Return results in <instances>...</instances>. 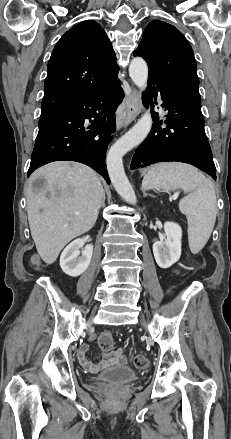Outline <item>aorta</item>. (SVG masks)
I'll return each mask as SVG.
<instances>
[{
	"label": "aorta",
	"mask_w": 231,
	"mask_h": 439,
	"mask_svg": "<svg viewBox=\"0 0 231 439\" xmlns=\"http://www.w3.org/2000/svg\"><path fill=\"white\" fill-rule=\"evenodd\" d=\"M129 75L141 91L146 89L148 66L143 58L135 57L132 59L129 66ZM151 127L152 116L150 111L146 110L133 128L111 146L107 155V170L114 189L123 199L133 205L137 203V198L125 174L122 158L147 137Z\"/></svg>",
	"instance_id": "obj_1"
}]
</instances>
